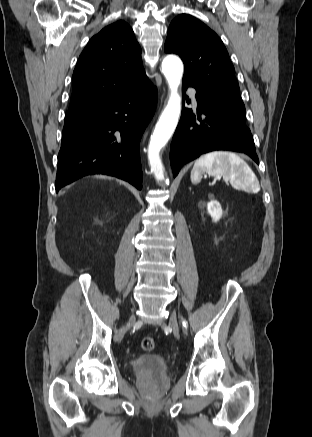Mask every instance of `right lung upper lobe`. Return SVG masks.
Segmentation results:
<instances>
[{"instance_id":"obj_1","label":"right lung upper lobe","mask_w":312,"mask_h":437,"mask_svg":"<svg viewBox=\"0 0 312 437\" xmlns=\"http://www.w3.org/2000/svg\"><path fill=\"white\" fill-rule=\"evenodd\" d=\"M145 71L134 32L117 21L93 36L73 72V92L67 113L85 112L135 85Z\"/></svg>"}]
</instances>
